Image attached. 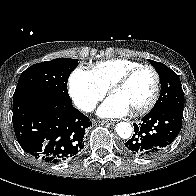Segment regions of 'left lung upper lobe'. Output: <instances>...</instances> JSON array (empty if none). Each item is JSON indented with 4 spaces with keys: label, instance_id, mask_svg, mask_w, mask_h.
Segmentation results:
<instances>
[{
    "label": "left lung upper lobe",
    "instance_id": "left-lung-upper-lobe-1",
    "mask_svg": "<svg viewBox=\"0 0 196 196\" xmlns=\"http://www.w3.org/2000/svg\"><path fill=\"white\" fill-rule=\"evenodd\" d=\"M157 71L161 81V94L152 110L164 107H173L183 110L184 92L178 75L166 65L148 60Z\"/></svg>",
    "mask_w": 196,
    "mask_h": 196
}]
</instances>
